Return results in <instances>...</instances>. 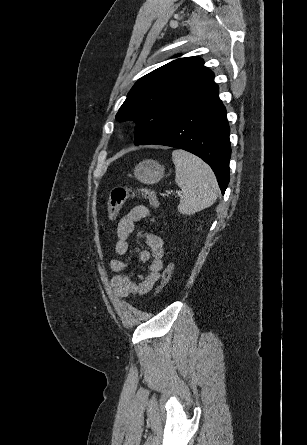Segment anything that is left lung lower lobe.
<instances>
[{
  "mask_svg": "<svg viewBox=\"0 0 307 445\" xmlns=\"http://www.w3.org/2000/svg\"><path fill=\"white\" fill-rule=\"evenodd\" d=\"M230 129L218 89L141 144L165 145L189 151L213 169L222 194L229 183Z\"/></svg>",
  "mask_w": 307,
  "mask_h": 445,
  "instance_id": "obj_1",
  "label": "left lung lower lobe"
}]
</instances>
